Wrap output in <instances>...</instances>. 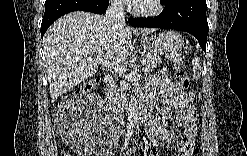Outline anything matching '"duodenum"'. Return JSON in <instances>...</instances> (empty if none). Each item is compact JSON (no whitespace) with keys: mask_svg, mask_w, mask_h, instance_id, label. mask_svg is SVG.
Instances as JSON below:
<instances>
[{"mask_svg":"<svg viewBox=\"0 0 247 156\" xmlns=\"http://www.w3.org/2000/svg\"><path fill=\"white\" fill-rule=\"evenodd\" d=\"M105 90L107 93L112 92V80L110 77L105 79ZM110 110L115 114H119L120 110V100L115 98L110 102ZM137 118L141 121H146L151 118V112L148 107H137L136 108Z\"/></svg>","mask_w":247,"mask_h":156,"instance_id":"410a0bca","label":"duodenum"}]
</instances>
